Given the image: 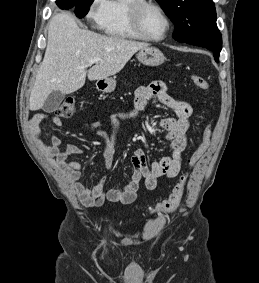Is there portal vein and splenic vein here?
<instances>
[{
	"label": "portal vein and splenic vein",
	"mask_w": 259,
	"mask_h": 283,
	"mask_svg": "<svg viewBox=\"0 0 259 283\" xmlns=\"http://www.w3.org/2000/svg\"><path fill=\"white\" fill-rule=\"evenodd\" d=\"M101 59L98 57L92 58L91 60H89V62L86 64V67H89L95 63H98Z\"/></svg>",
	"instance_id": "portal-vein-and-splenic-vein-1"
}]
</instances>
